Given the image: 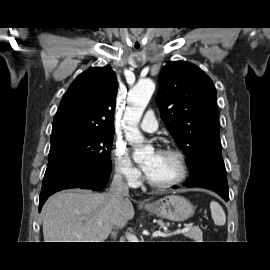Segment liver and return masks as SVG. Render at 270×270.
<instances>
[{"instance_id":"1","label":"liver","mask_w":270,"mask_h":270,"mask_svg":"<svg viewBox=\"0 0 270 270\" xmlns=\"http://www.w3.org/2000/svg\"><path fill=\"white\" fill-rule=\"evenodd\" d=\"M134 215L127 197L118 202L109 192L62 191L44 207V242H104Z\"/></svg>"}]
</instances>
